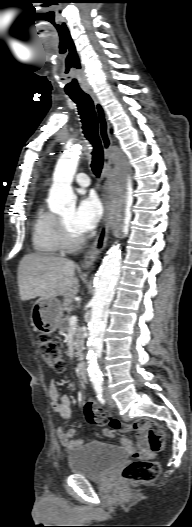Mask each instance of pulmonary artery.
<instances>
[{
  "label": "pulmonary artery",
  "instance_id": "pulmonary-artery-1",
  "mask_svg": "<svg viewBox=\"0 0 192 527\" xmlns=\"http://www.w3.org/2000/svg\"><path fill=\"white\" fill-rule=\"evenodd\" d=\"M75 182L81 187H88L91 183L90 178L85 173H79L75 176Z\"/></svg>",
  "mask_w": 192,
  "mask_h": 527
}]
</instances>
